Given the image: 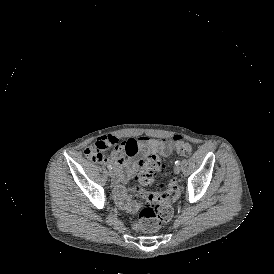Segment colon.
<instances>
[{
    "mask_svg": "<svg viewBox=\"0 0 274 274\" xmlns=\"http://www.w3.org/2000/svg\"><path fill=\"white\" fill-rule=\"evenodd\" d=\"M177 149L183 160H190L193 157V150L188 143L178 144ZM140 169L138 182L134 186L117 185L114 190V198L121 209L129 213L139 212L132 221L135 230L152 232L171 219L172 204L179 196L180 186L175 179H172L161 195L150 194L145 199L146 188L152 184L154 178L162 170V159L159 156L144 158L140 162ZM134 195L139 197H134Z\"/></svg>",
    "mask_w": 274,
    "mask_h": 274,
    "instance_id": "colon-1",
    "label": "colon"
}]
</instances>
